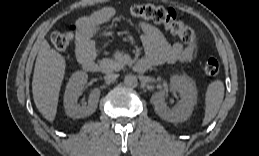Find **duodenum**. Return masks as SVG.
I'll list each match as a JSON object with an SVG mask.
<instances>
[{
	"label": "duodenum",
	"mask_w": 259,
	"mask_h": 156,
	"mask_svg": "<svg viewBox=\"0 0 259 156\" xmlns=\"http://www.w3.org/2000/svg\"><path fill=\"white\" fill-rule=\"evenodd\" d=\"M82 67L88 71V72H98L99 71V65L98 63L93 59L92 55H85L81 57ZM148 69V65L142 61H139L135 65V70L137 72H144Z\"/></svg>",
	"instance_id": "410a0bca"
}]
</instances>
